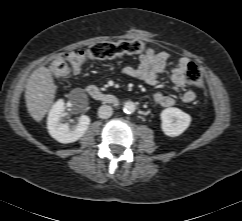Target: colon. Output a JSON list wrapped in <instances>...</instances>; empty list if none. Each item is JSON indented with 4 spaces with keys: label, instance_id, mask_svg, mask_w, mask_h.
<instances>
[{
    "label": "colon",
    "instance_id": "1",
    "mask_svg": "<svg viewBox=\"0 0 242 221\" xmlns=\"http://www.w3.org/2000/svg\"><path fill=\"white\" fill-rule=\"evenodd\" d=\"M146 51L145 44L138 39L118 42H99L85 50H73L56 57L49 66L50 74L55 78H64L78 73L83 65L92 60H108L127 54H139ZM187 82L198 89L204 87V77L198 65L190 62L186 69Z\"/></svg>",
    "mask_w": 242,
    "mask_h": 221
}]
</instances>
